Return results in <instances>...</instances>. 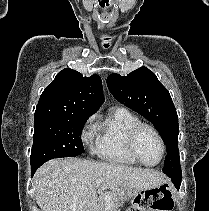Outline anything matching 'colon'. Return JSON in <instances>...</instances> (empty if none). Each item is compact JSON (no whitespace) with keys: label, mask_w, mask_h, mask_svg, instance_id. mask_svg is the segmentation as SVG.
<instances>
[{"label":"colon","mask_w":209,"mask_h":211,"mask_svg":"<svg viewBox=\"0 0 209 211\" xmlns=\"http://www.w3.org/2000/svg\"><path fill=\"white\" fill-rule=\"evenodd\" d=\"M171 207V193L167 186L137 195L128 211H167Z\"/></svg>","instance_id":"1"}]
</instances>
